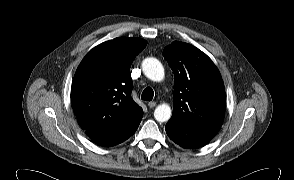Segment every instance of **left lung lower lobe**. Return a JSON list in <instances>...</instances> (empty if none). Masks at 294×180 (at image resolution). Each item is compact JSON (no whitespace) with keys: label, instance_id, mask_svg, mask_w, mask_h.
Returning a JSON list of instances; mask_svg holds the SVG:
<instances>
[{"label":"left lung lower lobe","instance_id":"obj_1","mask_svg":"<svg viewBox=\"0 0 294 180\" xmlns=\"http://www.w3.org/2000/svg\"><path fill=\"white\" fill-rule=\"evenodd\" d=\"M220 128L191 129L169 120L165 126L167 135L184 148L196 149L206 145Z\"/></svg>","mask_w":294,"mask_h":180}]
</instances>
